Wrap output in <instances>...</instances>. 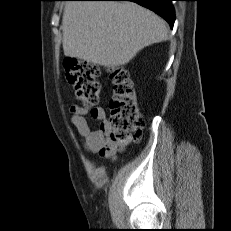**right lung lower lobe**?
I'll use <instances>...</instances> for the list:
<instances>
[{
  "mask_svg": "<svg viewBox=\"0 0 231 231\" xmlns=\"http://www.w3.org/2000/svg\"><path fill=\"white\" fill-rule=\"evenodd\" d=\"M83 1H133L150 10L154 11L163 17L171 27H173L175 20L174 8L172 7V0H83Z\"/></svg>",
  "mask_w": 231,
  "mask_h": 231,
  "instance_id": "right-lung-lower-lobe-1",
  "label": "right lung lower lobe"
}]
</instances>
